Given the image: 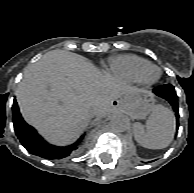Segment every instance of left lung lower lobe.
Masks as SVG:
<instances>
[{"mask_svg":"<svg viewBox=\"0 0 194 193\" xmlns=\"http://www.w3.org/2000/svg\"><path fill=\"white\" fill-rule=\"evenodd\" d=\"M153 92L159 97L166 99L172 105L176 113V119H177L176 129H178L179 112H178L177 95L174 90V87L171 84H165L155 89Z\"/></svg>","mask_w":194,"mask_h":193,"instance_id":"0a47b994","label":"left lung lower lobe"}]
</instances>
